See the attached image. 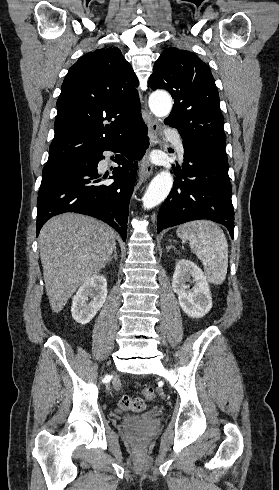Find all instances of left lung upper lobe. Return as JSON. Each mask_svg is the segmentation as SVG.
Returning a JSON list of instances; mask_svg holds the SVG:
<instances>
[{"label": "left lung upper lobe", "mask_w": 279, "mask_h": 490, "mask_svg": "<svg viewBox=\"0 0 279 490\" xmlns=\"http://www.w3.org/2000/svg\"><path fill=\"white\" fill-rule=\"evenodd\" d=\"M150 87L168 90L175 104L165 124L183 137L200 139L225 149L226 135L220 99L210 67L194 53L168 48L154 64Z\"/></svg>", "instance_id": "1"}]
</instances>
